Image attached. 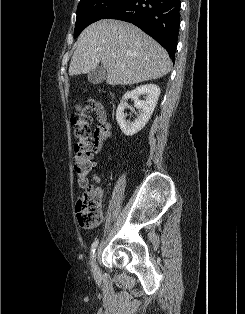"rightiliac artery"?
I'll return each instance as SVG.
<instances>
[{
  "instance_id": "1",
  "label": "right iliac artery",
  "mask_w": 245,
  "mask_h": 314,
  "mask_svg": "<svg viewBox=\"0 0 245 314\" xmlns=\"http://www.w3.org/2000/svg\"><path fill=\"white\" fill-rule=\"evenodd\" d=\"M98 245V239H95V241L92 243L91 245V252H90V258L91 260L93 259L94 257V253H95V250H96V247ZM91 264H92V261H91Z\"/></svg>"
}]
</instances>
